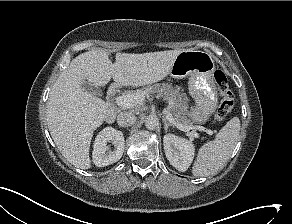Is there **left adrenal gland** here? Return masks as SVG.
Segmentation results:
<instances>
[{
  "mask_svg": "<svg viewBox=\"0 0 292 224\" xmlns=\"http://www.w3.org/2000/svg\"><path fill=\"white\" fill-rule=\"evenodd\" d=\"M163 123H164L165 132L167 133L168 127L169 126L173 127V125L170 122H168L165 118H163Z\"/></svg>",
  "mask_w": 292,
  "mask_h": 224,
  "instance_id": "1",
  "label": "left adrenal gland"
}]
</instances>
